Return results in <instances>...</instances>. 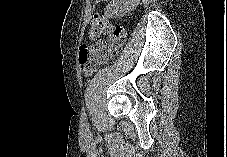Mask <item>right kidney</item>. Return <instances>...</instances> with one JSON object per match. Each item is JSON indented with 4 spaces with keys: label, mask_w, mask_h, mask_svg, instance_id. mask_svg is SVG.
Returning a JSON list of instances; mask_svg holds the SVG:
<instances>
[{
    "label": "right kidney",
    "mask_w": 227,
    "mask_h": 157,
    "mask_svg": "<svg viewBox=\"0 0 227 157\" xmlns=\"http://www.w3.org/2000/svg\"><path fill=\"white\" fill-rule=\"evenodd\" d=\"M125 0H114L107 6L105 14L108 17H121L130 10Z\"/></svg>",
    "instance_id": "1"
}]
</instances>
